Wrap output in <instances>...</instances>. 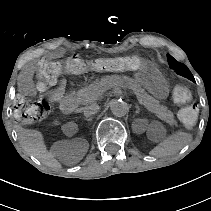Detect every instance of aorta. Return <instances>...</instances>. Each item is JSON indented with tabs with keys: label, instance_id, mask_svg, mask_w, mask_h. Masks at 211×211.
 Returning <instances> with one entry per match:
<instances>
[{
	"label": "aorta",
	"instance_id": "1",
	"mask_svg": "<svg viewBox=\"0 0 211 211\" xmlns=\"http://www.w3.org/2000/svg\"><path fill=\"white\" fill-rule=\"evenodd\" d=\"M110 109L111 112L118 117L125 116L129 111L128 104L122 100H112Z\"/></svg>",
	"mask_w": 211,
	"mask_h": 211
}]
</instances>
